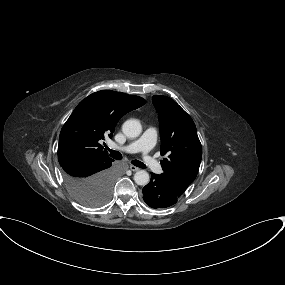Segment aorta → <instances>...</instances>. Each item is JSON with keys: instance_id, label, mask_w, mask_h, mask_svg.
Listing matches in <instances>:
<instances>
[{"instance_id": "obj_1", "label": "aorta", "mask_w": 285, "mask_h": 285, "mask_svg": "<svg viewBox=\"0 0 285 285\" xmlns=\"http://www.w3.org/2000/svg\"><path fill=\"white\" fill-rule=\"evenodd\" d=\"M123 133L130 138L138 137L142 132V126L139 120L129 119L123 123ZM149 174L145 170H139L134 175V181L140 186H145L149 183Z\"/></svg>"}]
</instances>
